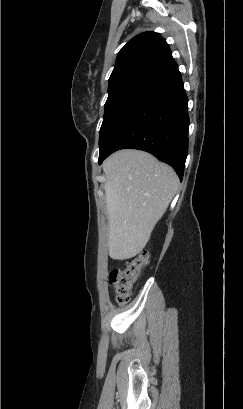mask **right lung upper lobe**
I'll list each match as a JSON object with an SVG mask.
<instances>
[{"label":"right lung upper lobe","mask_w":243,"mask_h":409,"mask_svg":"<svg viewBox=\"0 0 243 409\" xmlns=\"http://www.w3.org/2000/svg\"><path fill=\"white\" fill-rule=\"evenodd\" d=\"M166 41L155 32L131 39L118 53L109 86L138 76L164 79L177 68Z\"/></svg>","instance_id":"1"}]
</instances>
